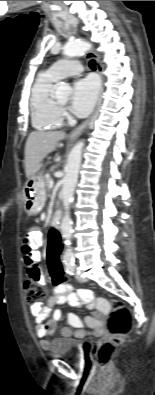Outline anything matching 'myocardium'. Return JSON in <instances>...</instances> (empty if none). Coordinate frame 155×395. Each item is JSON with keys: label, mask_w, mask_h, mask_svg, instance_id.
<instances>
[{"label": "myocardium", "mask_w": 155, "mask_h": 395, "mask_svg": "<svg viewBox=\"0 0 155 395\" xmlns=\"http://www.w3.org/2000/svg\"><path fill=\"white\" fill-rule=\"evenodd\" d=\"M54 101H55L56 107H57L59 110L63 108V105L60 104L57 100L54 99Z\"/></svg>", "instance_id": "1"}]
</instances>
